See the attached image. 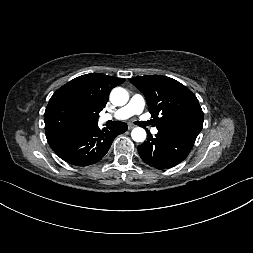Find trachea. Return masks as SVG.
Returning a JSON list of instances; mask_svg holds the SVG:
<instances>
[{
  "mask_svg": "<svg viewBox=\"0 0 253 253\" xmlns=\"http://www.w3.org/2000/svg\"><path fill=\"white\" fill-rule=\"evenodd\" d=\"M136 124H137V125H141V124H142V122H136Z\"/></svg>",
  "mask_w": 253,
  "mask_h": 253,
  "instance_id": "obj_1",
  "label": "trachea"
}]
</instances>
